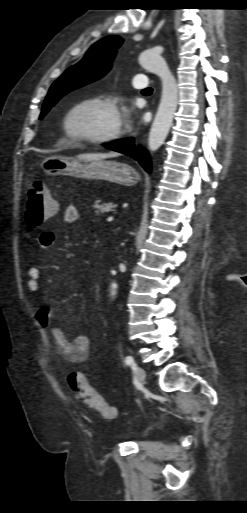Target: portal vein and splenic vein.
<instances>
[{"mask_svg":"<svg viewBox=\"0 0 247 513\" xmlns=\"http://www.w3.org/2000/svg\"><path fill=\"white\" fill-rule=\"evenodd\" d=\"M113 219H114V218H113L112 216H110V217H108V218H107V222H112V221H113Z\"/></svg>","mask_w":247,"mask_h":513,"instance_id":"portal-vein-and-splenic-vein-1","label":"portal vein and splenic vein"}]
</instances>
